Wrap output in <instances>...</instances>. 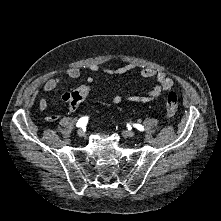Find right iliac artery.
Returning <instances> with one entry per match:
<instances>
[{"mask_svg": "<svg viewBox=\"0 0 221 221\" xmlns=\"http://www.w3.org/2000/svg\"><path fill=\"white\" fill-rule=\"evenodd\" d=\"M87 122H88V117L84 116L78 120L77 127L84 128L87 125Z\"/></svg>", "mask_w": 221, "mask_h": 221, "instance_id": "obj_1", "label": "right iliac artery"}]
</instances>
